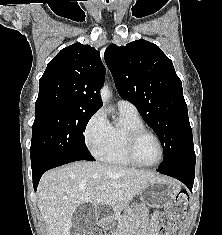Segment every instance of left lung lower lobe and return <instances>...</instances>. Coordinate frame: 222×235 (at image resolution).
Instances as JSON below:
<instances>
[{
    "instance_id": "0a47b994",
    "label": "left lung lower lobe",
    "mask_w": 222,
    "mask_h": 235,
    "mask_svg": "<svg viewBox=\"0 0 222 235\" xmlns=\"http://www.w3.org/2000/svg\"><path fill=\"white\" fill-rule=\"evenodd\" d=\"M157 171L180 180L192 191L195 177V164H179L166 168H158Z\"/></svg>"
}]
</instances>
